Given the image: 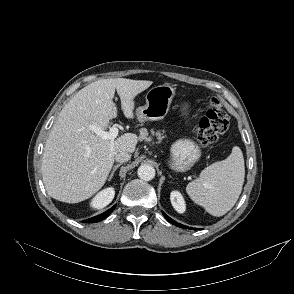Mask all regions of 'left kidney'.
I'll return each instance as SVG.
<instances>
[{
	"mask_svg": "<svg viewBox=\"0 0 294 294\" xmlns=\"http://www.w3.org/2000/svg\"><path fill=\"white\" fill-rule=\"evenodd\" d=\"M172 206L178 213H184L186 209L185 201L179 191H172L170 194Z\"/></svg>",
	"mask_w": 294,
	"mask_h": 294,
	"instance_id": "left-kidney-1",
	"label": "left kidney"
}]
</instances>
